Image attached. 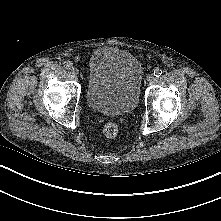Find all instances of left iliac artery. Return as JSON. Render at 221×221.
<instances>
[{"mask_svg": "<svg viewBox=\"0 0 221 221\" xmlns=\"http://www.w3.org/2000/svg\"><path fill=\"white\" fill-rule=\"evenodd\" d=\"M162 74V70L160 68H156L154 70V76L159 77Z\"/></svg>", "mask_w": 221, "mask_h": 221, "instance_id": "1", "label": "left iliac artery"}]
</instances>
